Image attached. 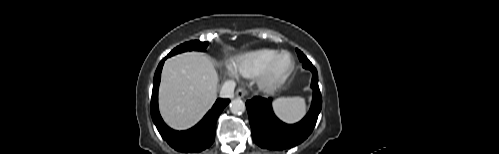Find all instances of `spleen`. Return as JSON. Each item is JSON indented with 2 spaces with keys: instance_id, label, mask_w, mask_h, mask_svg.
Masks as SVG:
<instances>
[{
  "instance_id": "obj_1",
  "label": "spleen",
  "mask_w": 499,
  "mask_h": 154,
  "mask_svg": "<svg viewBox=\"0 0 499 154\" xmlns=\"http://www.w3.org/2000/svg\"><path fill=\"white\" fill-rule=\"evenodd\" d=\"M276 115L283 121L294 123L300 120L306 112L304 98L301 97H281L273 102Z\"/></svg>"
}]
</instances>
